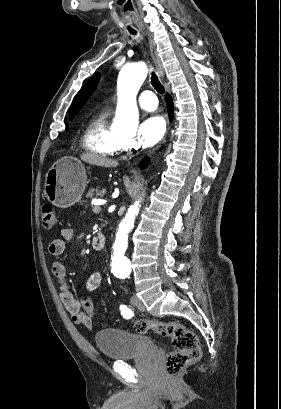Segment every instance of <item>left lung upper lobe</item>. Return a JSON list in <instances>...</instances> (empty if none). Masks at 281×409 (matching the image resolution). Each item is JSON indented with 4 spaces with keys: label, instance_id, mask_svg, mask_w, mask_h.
I'll use <instances>...</instances> for the list:
<instances>
[{
    "label": "left lung upper lobe",
    "instance_id": "5c2ea615",
    "mask_svg": "<svg viewBox=\"0 0 281 409\" xmlns=\"http://www.w3.org/2000/svg\"><path fill=\"white\" fill-rule=\"evenodd\" d=\"M100 78V74L96 73L94 74L86 83L85 85L80 89V91L77 93L75 96V99L73 100L70 110H69V115L71 119L74 117V115L80 110V108L86 103V101L89 99V97L92 95V93L95 91L98 81Z\"/></svg>",
    "mask_w": 281,
    "mask_h": 409
}]
</instances>
